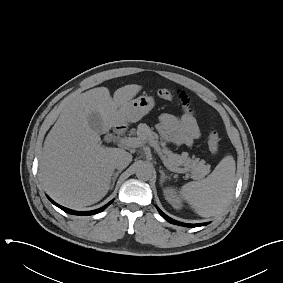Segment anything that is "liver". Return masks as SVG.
I'll return each mask as SVG.
<instances>
[{"instance_id":"6515ba94","label":"liver","mask_w":283,"mask_h":283,"mask_svg":"<svg viewBox=\"0 0 283 283\" xmlns=\"http://www.w3.org/2000/svg\"><path fill=\"white\" fill-rule=\"evenodd\" d=\"M141 89V85H126L111 98L106 87H97L67 102L46 136L40 159L43 186L56 202L82 208L108 193L115 168L113 159L123 149L102 146L88 117L98 113L102 133L108 132L123 122V106Z\"/></svg>"}]
</instances>
